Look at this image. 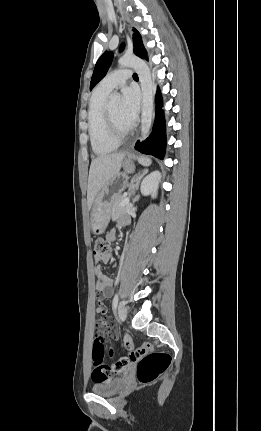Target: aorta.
I'll return each mask as SVG.
<instances>
[{
    "mask_svg": "<svg viewBox=\"0 0 261 431\" xmlns=\"http://www.w3.org/2000/svg\"><path fill=\"white\" fill-rule=\"evenodd\" d=\"M118 64L120 67L133 68L139 76L142 90L141 140H144L147 138L153 116V82L149 67L142 59L127 55L121 57ZM119 101L120 94L112 93L110 103L116 105Z\"/></svg>",
    "mask_w": 261,
    "mask_h": 431,
    "instance_id": "1",
    "label": "aorta"
}]
</instances>
